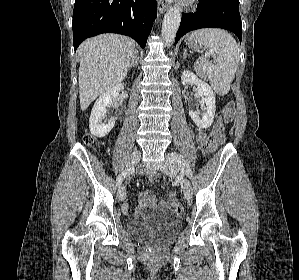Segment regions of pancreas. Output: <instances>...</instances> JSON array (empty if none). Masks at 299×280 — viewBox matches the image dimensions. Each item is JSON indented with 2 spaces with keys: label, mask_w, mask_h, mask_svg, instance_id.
Listing matches in <instances>:
<instances>
[{
  "label": "pancreas",
  "mask_w": 299,
  "mask_h": 280,
  "mask_svg": "<svg viewBox=\"0 0 299 280\" xmlns=\"http://www.w3.org/2000/svg\"><path fill=\"white\" fill-rule=\"evenodd\" d=\"M195 68H196V71H197L199 76H201L202 78H206L205 71H204L201 64H196Z\"/></svg>",
  "instance_id": "1"
}]
</instances>
